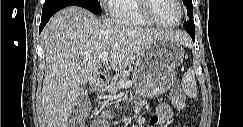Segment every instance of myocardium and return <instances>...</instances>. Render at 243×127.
I'll return each instance as SVG.
<instances>
[{
	"mask_svg": "<svg viewBox=\"0 0 243 127\" xmlns=\"http://www.w3.org/2000/svg\"><path fill=\"white\" fill-rule=\"evenodd\" d=\"M175 1L178 5L179 11H180V17H179L178 21L175 23L167 24V23H164V22L160 21L159 19H157L156 16L153 14V11L151 8V0H141L142 12L152 23H154L157 26L164 27V28H175L182 23L183 18H184V7L182 4V1L181 0H175Z\"/></svg>",
	"mask_w": 243,
	"mask_h": 127,
	"instance_id": "1",
	"label": "myocardium"
}]
</instances>
